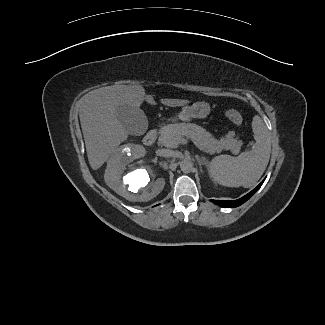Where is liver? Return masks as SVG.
Here are the masks:
<instances>
[{
    "label": "liver",
    "instance_id": "liver-1",
    "mask_svg": "<svg viewBox=\"0 0 325 325\" xmlns=\"http://www.w3.org/2000/svg\"><path fill=\"white\" fill-rule=\"evenodd\" d=\"M147 99L141 85H113L87 93L81 103L79 117L84 136L88 161L93 170L99 169L127 140L128 132L117 118L119 106L127 104L138 108ZM154 103L152 97H148ZM161 103L178 107L189 103L185 99H161ZM134 150L143 156L145 150L137 145Z\"/></svg>",
    "mask_w": 325,
    "mask_h": 325
}]
</instances>
